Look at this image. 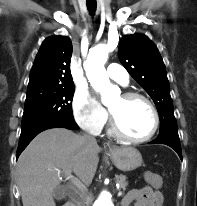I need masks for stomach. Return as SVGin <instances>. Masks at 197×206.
Segmentation results:
<instances>
[{
    "label": "stomach",
    "instance_id": "obj_1",
    "mask_svg": "<svg viewBox=\"0 0 197 206\" xmlns=\"http://www.w3.org/2000/svg\"><path fill=\"white\" fill-rule=\"evenodd\" d=\"M114 165L122 171H132L143 163L141 153L134 147L116 148L108 152Z\"/></svg>",
    "mask_w": 197,
    "mask_h": 206
}]
</instances>
